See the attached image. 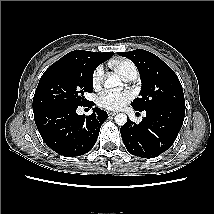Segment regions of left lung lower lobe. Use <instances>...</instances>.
<instances>
[{
    "mask_svg": "<svg viewBox=\"0 0 214 214\" xmlns=\"http://www.w3.org/2000/svg\"><path fill=\"white\" fill-rule=\"evenodd\" d=\"M145 111L146 117L140 124L129 121L120 128L121 137L132 155L155 158L174 143L183 125L185 109L156 107Z\"/></svg>",
    "mask_w": 214,
    "mask_h": 214,
    "instance_id": "0a47b994",
    "label": "left lung lower lobe"
}]
</instances>
